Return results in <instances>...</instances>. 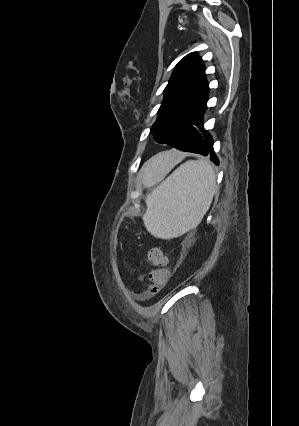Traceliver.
I'll return each instance as SVG.
<instances>
[{"mask_svg": "<svg viewBox=\"0 0 299 426\" xmlns=\"http://www.w3.org/2000/svg\"><path fill=\"white\" fill-rule=\"evenodd\" d=\"M163 157H164V154H159L155 156L154 158H152L150 161L146 163L145 168H149L154 161H159L163 159Z\"/></svg>", "mask_w": 299, "mask_h": 426, "instance_id": "liver-1", "label": "liver"}]
</instances>
